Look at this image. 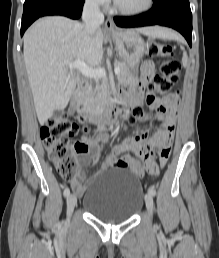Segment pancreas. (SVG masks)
Wrapping results in <instances>:
<instances>
[{"mask_svg":"<svg viewBox=\"0 0 219 258\" xmlns=\"http://www.w3.org/2000/svg\"><path fill=\"white\" fill-rule=\"evenodd\" d=\"M115 67L120 68V73L118 74V79L121 82H127L131 79V71L129 66L125 62L116 61ZM109 93L108 81L102 80L101 83L96 82L94 86H90L84 95V104L91 108H99L106 100Z\"/></svg>","mask_w":219,"mask_h":258,"instance_id":"cf45deb5","label":"pancreas"}]
</instances>
